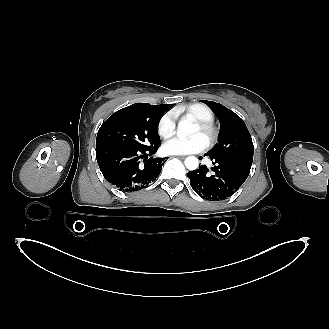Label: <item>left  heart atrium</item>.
<instances>
[{
    "label": "left heart atrium",
    "instance_id": "obj_1",
    "mask_svg": "<svg viewBox=\"0 0 329 329\" xmlns=\"http://www.w3.org/2000/svg\"><path fill=\"white\" fill-rule=\"evenodd\" d=\"M207 145V140L196 134L189 138H172L164 144V150L169 154L185 155L201 152L207 148Z\"/></svg>",
    "mask_w": 329,
    "mask_h": 329
}]
</instances>
